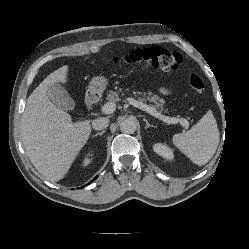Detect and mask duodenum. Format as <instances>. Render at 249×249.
<instances>
[{"label":"duodenum","mask_w":249,"mask_h":249,"mask_svg":"<svg viewBox=\"0 0 249 249\" xmlns=\"http://www.w3.org/2000/svg\"><path fill=\"white\" fill-rule=\"evenodd\" d=\"M97 98H98V94L96 91L94 90L89 91L86 95L87 106L93 105L97 101Z\"/></svg>","instance_id":"1"}]
</instances>
